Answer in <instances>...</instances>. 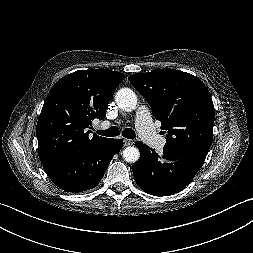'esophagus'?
Returning a JSON list of instances; mask_svg holds the SVG:
<instances>
[{
	"instance_id": "1",
	"label": "esophagus",
	"mask_w": 253,
	"mask_h": 253,
	"mask_svg": "<svg viewBox=\"0 0 253 253\" xmlns=\"http://www.w3.org/2000/svg\"><path fill=\"white\" fill-rule=\"evenodd\" d=\"M134 142L131 139H124V146H130L133 145Z\"/></svg>"
}]
</instances>
